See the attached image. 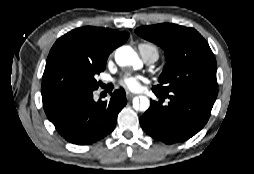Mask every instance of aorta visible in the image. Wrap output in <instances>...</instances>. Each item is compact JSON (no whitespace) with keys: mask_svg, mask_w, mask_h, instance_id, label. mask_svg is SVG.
<instances>
[{"mask_svg":"<svg viewBox=\"0 0 254 174\" xmlns=\"http://www.w3.org/2000/svg\"><path fill=\"white\" fill-rule=\"evenodd\" d=\"M115 60L119 66L140 65V60L135 51L129 46H123L117 49ZM150 106V101L145 96L136 97L133 99V107L135 110L146 111Z\"/></svg>","mask_w":254,"mask_h":174,"instance_id":"1","label":"aorta"}]
</instances>
